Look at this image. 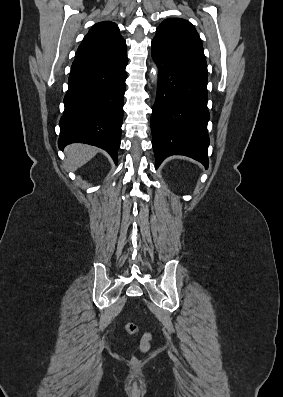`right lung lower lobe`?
I'll return each mask as SVG.
<instances>
[{
  "instance_id": "obj_1",
  "label": "right lung lower lobe",
  "mask_w": 283,
  "mask_h": 397,
  "mask_svg": "<svg viewBox=\"0 0 283 397\" xmlns=\"http://www.w3.org/2000/svg\"><path fill=\"white\" fill-rule=\"evenodd\" d=\"M128 59L70 73L59 148L86 143L106 150L115 163L120 147Z\"/></svg>"
}]
</instances>
